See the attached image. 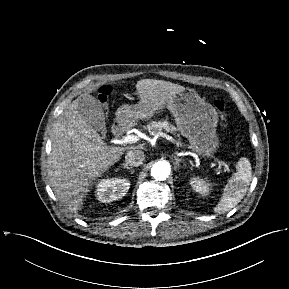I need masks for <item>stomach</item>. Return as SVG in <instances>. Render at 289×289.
I'll list each match as a JSON object with an SVG mask.
<instances>
[{
  "instance_id": "0dacf381",
  "label": "stomach",
  "mask_w": 289,
  "mask_h": 289,
  "mask_svg": "<svg viewBox=\"0 0 289 289\" xmlns=\"http://www.w3.org/2000/svg\"><path fill=\"white\" fill-rule=\"evenodd\" d=\"M167 107L175 117L177 129L188 139L193 150L204 156L216 152L219 146L216 134L218 114L211 104L205 102L194 89L185 88L172 96ZM116 115L117 120L124 122L146 119L153 114L139 102L120 107Z\"/></svg>"
}]
</instances>
